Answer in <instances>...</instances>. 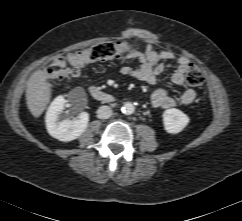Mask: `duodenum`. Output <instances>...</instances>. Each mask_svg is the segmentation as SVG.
I'll list each match as a JSON object with an SVG mask.
<instances>
[{"label":"duodenum","instance_id":"duodenum-1","mask_svg":"<svg viewBox=\"0 0 242 221\" xmlns=\"http://www.w3.org/2000/svg\"><path fill=\"white\" fill-rule=\"evenodd\" d=\"M89 92H90L91 96L97 100H101V101H105V102H109V103L114 102V97L111 94L103 91L99 87L91 86L89 88Z\"/></svg>","mask_w":242,"mask_h":221}]
</instances>
